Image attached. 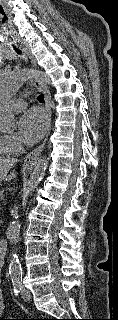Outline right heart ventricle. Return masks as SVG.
Returning a JSON list of instances; mask_svg holds the SVG:
<instances>
[{"label":"right heart ventricle","instance_id":"1","mask_svg":"<svg viewBox=\"0 0 118 320\" xmlns=\"http://www.w3.org/2000/svg\"><path fill=\"white\" fill-rule=\"evenodd\" d=\"M8 153H10V150L5 143L4 136L0 135V155H6Z\"/></svg>","mask_w":118,"mask_h":320}]
</instances>
